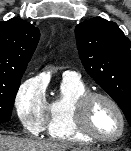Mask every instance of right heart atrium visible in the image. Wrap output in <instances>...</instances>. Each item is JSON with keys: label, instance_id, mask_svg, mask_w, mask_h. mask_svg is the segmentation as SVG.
Listing matches in <instances>:
<instances>
[{"label": "right heart atrium", "instance_id": "d8ad5b80", "mask_svg": "<svg viewBox=\"0 0 131 151\" xmlns=\"http://www.w3.org/2000/svg\"><path fill=\"white\" fill-rule=\"evenodd\" d=\"M16 114L22 126L30 133L37 135L44 130L48 102L45 87L38 77L23 81L14 98Z\"/></svg>", "mask_w": 131, "mask_h": 151}]
</instances>
